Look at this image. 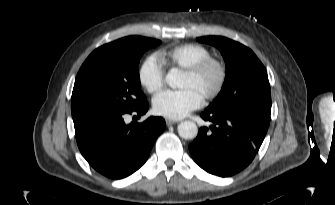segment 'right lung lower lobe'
I'll return each instance as SVG.
<instances>
[{
	"mask_svg": "<svg viewBox=\"0 0 335 205\" xmlns=\"http://www.w3.org/2000/svg\"><path fill=\"white\" fill-rule=\"evenodd\" d=\"M148 102L121 113H94L73 118L79 150L99 173L111 178H125L147 160L157 137L166 124L161 117H150L142 123L126 124V114L140 117Z\"/></svg>",
	"mask_w": 335,
	"mask_h": 205,
	"instance_id": "1",
	"label": "right lung lower lobe"
}]
</instances>
